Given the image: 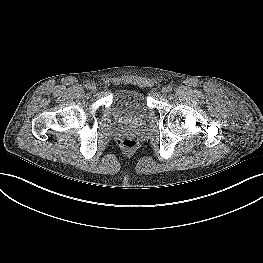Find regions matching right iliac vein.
Segmentation results:
<instances>
[{"label":"right iliac vein","mask_w":263,"mask_h":263,"mask_svg":"<svg viewBox=\"0 0 263 263\" xmlns=\"http://www.w3.org/2000/svg\"><path fill=\"white\" fill-rule=\"evenodd\" d=\"M90 89H91L92 92H96L97 91V87L95 85H92Z\"/></svg>","instance_id":"1"}]
</instances>
